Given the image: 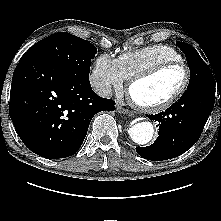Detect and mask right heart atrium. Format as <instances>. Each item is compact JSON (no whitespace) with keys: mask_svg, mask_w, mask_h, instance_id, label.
Returning <instances> with one entry per match:
<instances>
[{"mask_svg":"<svg viewBox=\"0 0 221 221\" xmlns=\"http://www.w3.org/2000/svg\"><path fill=\"white\" fill-rule=\"evenodd\" d=\"M89 80L91 85L102 94H109L112 91L120 92L125 82L117 60L108 54H101L95 59Z\"/></svg>","mask_w":221,"mask_h":221,"instance_id":"d8ad5b80","label":"right heart atrium"}]
</instances>
